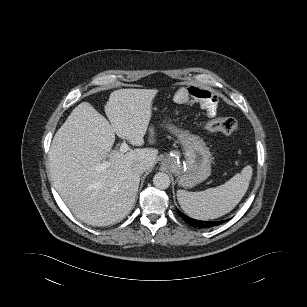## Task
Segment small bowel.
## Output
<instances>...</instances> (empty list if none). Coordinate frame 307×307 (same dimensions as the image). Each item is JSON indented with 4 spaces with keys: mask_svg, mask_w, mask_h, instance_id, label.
Listing matches in <instances>:
<instances>
[{
    "mask_svg": "<svg viewBox=\"0 0 307 307\" xmlns=\"http://www.w3.org/2000/svg\"><path fill=\"white\" fill-rule=\"evenodd\" d=\"M214 95L207 89L198 86H189L179 89L175 94V100L180 104H187L192 101L199 102L208 116L216 114L217 106Z\"/></svg>",
    "mask_w": 307,
    "mask_h": 307,
    "instance_id": "obj_1",
    "label": "small bowel"
}]
</instances>
